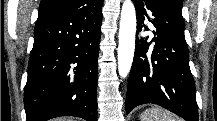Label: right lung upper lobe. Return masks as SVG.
I'll return each instance as SVG.
<instances>
[{"mask_svg": "<svg viewBox=\"0 0 217 121\" xmlns=\"http://www.w3.org/2000/svg\"><path fill=\"white\" fill-rule=\"evenodd\" d=\"M86 0H41L38 17L79 8Z\"/></svg>", "mask_w": 217, "mask_h": 121, "instance_id": "right-lung-upper-lobe-1", "label": "right lung upper lobe"}]
</instances>
